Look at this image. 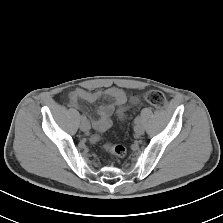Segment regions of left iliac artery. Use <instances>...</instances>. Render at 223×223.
<instances>
[{
  "label": "left iliac artery",
  "instance_id": "left-iliac-artery-1",
  "mask_svg": "<svg viewBox=\"0 0 223 223\" xmlns=\"http://www.w3.org/2000/svg\"><path fill=\"white\" fill-rule=\"evenodd\" d=\"M141 122V117L140 116H137L135 119H134V123L135 124H138Z\"/></svg>",
  "mask_w": 223,
  "mask_h": 223
}]
</instances>
